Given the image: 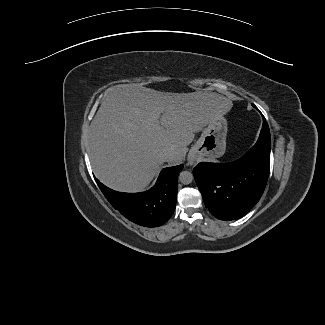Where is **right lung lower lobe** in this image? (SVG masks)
<instances>
[{"label": "right lung lower lobe", "instance_id": "98d812e1", "mask_svg": "<svg viewBox=\"0 0 325 325\" xmlns=\"http://www.w3.org/2000/svg\"><path fill=\"white\" fill-rule=\"evenodd\" d=\"M183 164L164 168L150 190L141 193L114 191L96 182L110 204L130 221L145 227H157L172 216L178 189V173Z\"/></svg>", "mask_w": 325, "mask_h": 325}]
</instances>
